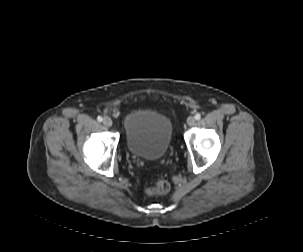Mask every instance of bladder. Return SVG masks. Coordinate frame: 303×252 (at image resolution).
I'll return each instance as SVG.
<instances>
[{
	"label": "bladder",
	"mask_w": 303,
	"mask_h": 252,
	"mask_svg": "<svg viewBox=\"0 0 303 252\" xmlns=\"http://www.w3.org/2000/svg\"><path fill=\"white\" fill-rule=\"evenodd\" d=\"M125 143L128 152L144 160L162 159L170 149L173 128L163 114L136 110L124 118Z\"/></svg>",
	"instance_id": "1"
}]
</instances>
